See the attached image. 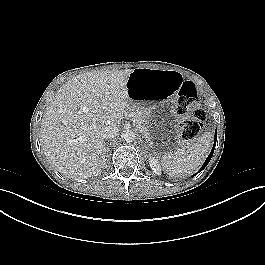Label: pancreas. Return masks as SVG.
<instances>
[{
	"label": "pancreas",
	"instance_id": "obj_1",
	"mask_svg": "<svg viewBox=\"0 0 265 265\" xmlns=\"http://www.w3.org/2000/svg\"><path fill=\"white\" fill-rule=\"evenodd\" d=\"M132 115H133V119H135L136 127L139 128L141 132L145 133L146 131V127L144 124L145 115L143 114V112L137 110V111H134Z\"/></svg>",
	"mask_w": 265,
	"mask_h": 265
}]
</instances>
